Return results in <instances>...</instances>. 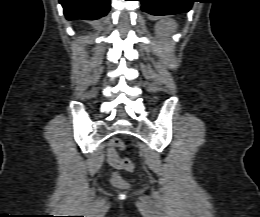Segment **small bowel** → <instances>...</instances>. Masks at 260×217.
<instances>
[{
    "mask_svg": "<svg viewBox=\"0 0 260 217\" xmlns=\"http://www.w3.org/2000/svg\"><path fill=\"white\" fill-rule=\"evenodd\" d=\"M119 159L115 149L110 145L108 149V161L112 167L117 166V160Z\"/></svg>",
    "mask_w": 260,
    "mask_h": 217,
    "instance_id": "small-bowel-1",
    "label": "small bowel"
}]
</instances>
